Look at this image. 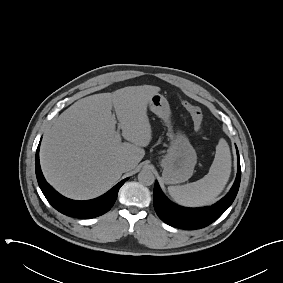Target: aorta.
I'll return each mask as SVG.
<instances>
[{"instance_id":"aorta-1","label":"aorta","mask_w":283,"mask_h":283,"mask_svg":"<svg viewBox=\"0 0 283 283\" xmlns=\"http://www.w3.org/2000/svg\"><path fill=\"white\" fill-rule=\"evenodd\" d=\"M138 180L142 185L150 186L154 183V174L147 169L141 170L138 174Z\"/></svg>"}]
</instances>
